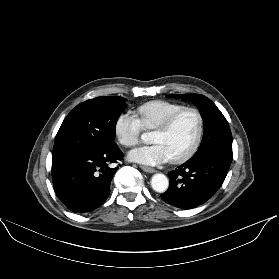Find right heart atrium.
<instances>
[{
	"mask_svg": "<svg viewBox=\"0 0 279 279\" xmlns=\"http://www.w3.org/2000/svg\"><path fill=\"white\" fill-rule=\"evenodd\" d=\"M143 127L139 119L131 112L121 113L115 122L114 131L118 141L125 147L138 144Z\"/></svg>",
	"mask_w": 279,
	"mask_h": 279,
	"instance_id": "right-heart-atrium-1",
	"label": "right heart atrium"
}]
</instances>
